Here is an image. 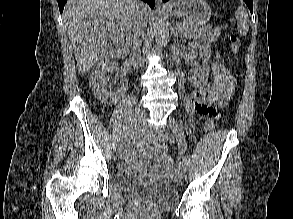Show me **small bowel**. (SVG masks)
<instances>
[{"label":"small bowel","mask_w":293,"mask_h":219,"mask_svg":"<svg viewBox=\"0 0 293 219\" xmlns=\"http://www.w3.org/2000/svg\"><path fill=\"white\" fill-rule=\"evenodd\" d=\"M198 50L202 58H207L209 56L207 47L199 46ZM212 74L213 82L211 85L207 88L192 92L188 96V102L198 113H200L198 111L200 107L204 106L208 108L210 113L203 115H208L212 119H217L218 112L216 107H222L228 103L234 93L236 80L220 62L212 64Z\"/></svg>","instance_id":"small-bowel-1"}]
</instances>
